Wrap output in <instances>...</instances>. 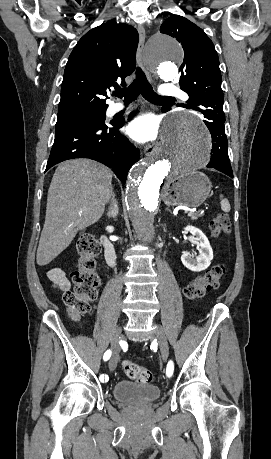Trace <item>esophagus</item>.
I'll list each match as a JSON object with an SVG mask.
<instances>
[{
  "label": "esophagus",
  "instance_id": "34e87169",
  "mask_svg": "<svg viewBox=\"0 0 271 459\" xmlns=\"http://www.w3.org/2000/svg\"><path fill=\"white\" fill-rule=\"evenodd\" d=\"M138 33H139V44L137 49L136 59L138 62L139 69H144L146 76L153 82V72L155 68L153 67L152 60H144L145 56L143 55V47L145 43V39L147 38L146 31L143 26H138ZM144 154L146 157L152 158L155 160L156 158V148L154 142L148 143V145L144 148Z\"/></svg>",
  "mask_w": 271,
  "mask_h": 459
}]
</instances>
